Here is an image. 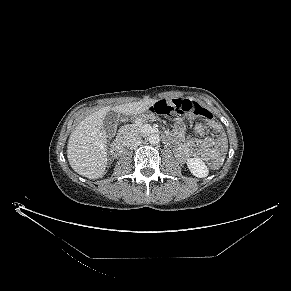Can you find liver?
I'll return each instance as SVG.
<instances>
[{
	"label": "liver",
	"mask_w": 291,
	"mask_h": 291,
	"mask_svg": "<svg viewBox=\"0 0 291 291\" xmlns=\"http://www.w3.org/2000/svg\"><path fill=\"white\" fill-rule=\"evenodd\" d=\"M156 101L147 99L115 107L106 106L88 115L75 127L68 140L67 157L72 169L89 179L101 177L107 165V136L102 130L106 113L113 110L124 115H138Z\"/></svg>",
	"instance_id": "6515ba94"
}]
</instances>
